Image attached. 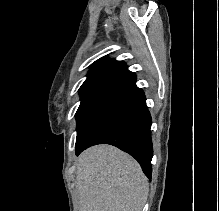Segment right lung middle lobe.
<instances>
[{
  "instance_id": "right-lung-middle-lobe-1",
  "label": "right lung middle lobe",
  "mask_w": 219,
  "mask_h": 211,
  "mask_svg": "<svg viewBox=\"0 0 219 211\" xmlns=\"http://www.w3.org/2000/svg\"><path fill=\"white\" fill-rule=\"evenodd\" d=\"M108 93L109 90H98L80 95L81 103L76 112L77 138Z\"/></svg>"
}]
</instances>
